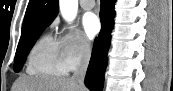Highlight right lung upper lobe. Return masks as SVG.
I'll return each instance as SVG.
<instances>
[{
    "label": "right lung upper lobe",
    "mask_w": 173,
    "mask_h": 91,
    "mask_svg": "<svg viewBox=\"0 0 173 91\" xmlns=\"http://www.w3.org/2000/svg\"><path fill=\"white\" fill-rule=\"evenodd\" d=\"M58 13V0H30L22 32L40 25H49Z\"/></svg>",
    "instance_id": "cb5924a9"
}]
</instances>
